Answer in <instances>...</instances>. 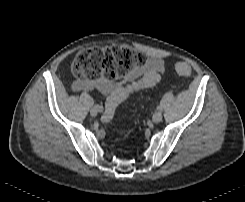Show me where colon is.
<instances>
[{"label":"colon","mask_w":245,"mask_h":202,"mask_svg":"<svg viewBox=\"0 0 245 202\" xmlns=\"http://www.w3.org/2000/svg\"><path fill=\"white\" fill-rule=\"evenodd\" d=\"M143 63L144 56L127 45L84 48L74 56L71 70L74 75L83 79L105 77L117 80L125 77L133 67L141 66ZM175 71L181 76H188L191 74V67L186 62H178ZM115 108L114 105L107 104L102 117L104 122L112 118Z\"/></svg>","instance_id":"5ec220e1"}]
</instances>
